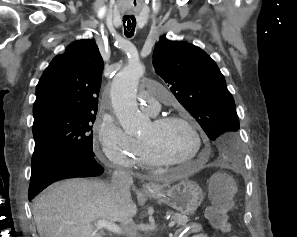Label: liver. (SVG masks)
I'll use <instances>...</instances> for the list:
<instances>
[{
  "instance_id": "6515ba94",
  "label": "liver",
  "mask_w": 297,
  "mask_h": 237,
  "mask_svg": "<svg viewBox=\"0 0 297 237\" xmlns=\"http://www.w3.org/2000/svg\"><path fill=\"white\" fill-rule=\"evenodd\" d=\"M32 213L40 237H102L93 222H122L137 213L131 198L120 203L112 187L82 178L68 179L49 186L38 195Z\"/></svg>"
}]
</instances>
